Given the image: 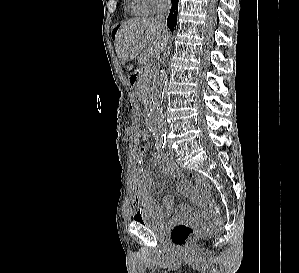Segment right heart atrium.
I'll return each instance as SVG.
<instances>
[{"label":"right heart atrium","instance_id":"1","mask_svg":"<svg viewBox=\"0 0 299 273\" xmlns=\"http://www.w3.org/2000/svg\"><path fill=\"white\" fill-rule=\"evenodd\" d=\"M142 13H151L168 0H134Z\"/></svg>","mask_w":299,"mask_h":273}]
</instances>
